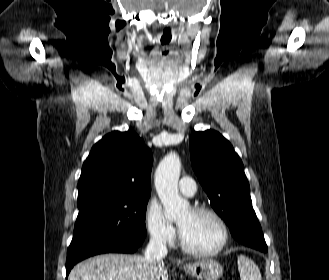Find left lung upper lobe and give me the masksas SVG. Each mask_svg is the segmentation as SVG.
<instances>
[{"label": "left lung upper lobe", "instance_id": "1", "mask_svg": "<svg viewBox=\"0 0 329 280\" xmlns=\"http://www.w3.org/2000/svg\"><path fill=\"white\" fill-rule=\"evenodd\" d=\"M189 142L193 169L214 211L228 224L231 233L250 225L257 217L249 183L243 163L230 142L214 130L193 131ZM239 242L246 246H266L264 236L247 235Z\"/></svg>", "mask_w": 329, "mask_h": 280}]
</instances>
